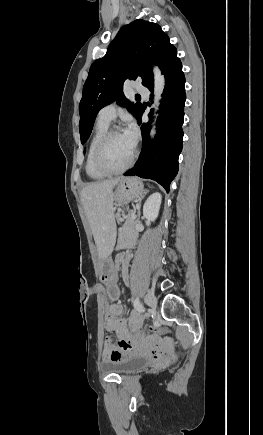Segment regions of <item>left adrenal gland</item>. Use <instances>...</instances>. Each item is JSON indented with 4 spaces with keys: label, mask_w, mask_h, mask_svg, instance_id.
Returning a JSON list of instances; mask_svg holds the SVG:
<instances>
[{
    "label": "left adrenal gland",
    "mask_w": 263,
    "mask_h": 435,
    "mask_svg": "<svg viewBox=\"0 0 263 435\" xmlns=\"http://www.w3.org/2000/svg\"><path fill=\"white\" fill-rule=\"evenodd\" d=\"M146 193H147V191L144 192L143 195H141V197H139V198L136 200L135 210H137V221L140 219V215H141V212H140L141 201H142V199L144 198V196H145Z\"/></svg>",
    "instance_id": "obj_1"
}]
</instances>
